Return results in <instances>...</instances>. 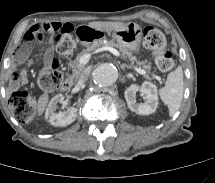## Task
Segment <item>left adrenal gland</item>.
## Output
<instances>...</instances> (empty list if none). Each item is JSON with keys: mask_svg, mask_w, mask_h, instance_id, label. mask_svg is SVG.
Segmentation results:
<instances>
[{"mask_svg": "<svg viewBox=\"0 0 215 183\" xmlns=\"http://www.w3.org/2000/svg\"><path fill=\"white\" fill-rule=\"evenodd\" d=\"M120 67H121L122 70H124L125 68H130V67H129L128 65H126V64H121Z\"/></svg>", "mask_w": 215, "mask_h": 183, "instance_id": "a2214340", "label": "left adrenal gland"}]
</instances>
